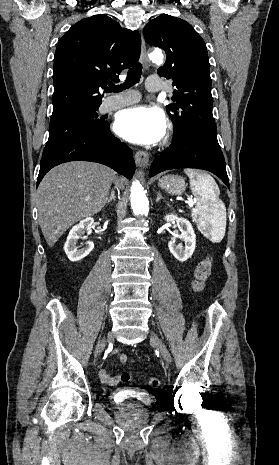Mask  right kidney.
Here are the masks:
<instances>
[{"instance_id":"obj_1","label":"right kidney","mask_w":279,"mask_h":465,"mask_svg":"<svg viewBox=\"0 0 279 465\" xmlns=\"http://www.w3.org/2000/svg\"><path fill=\"white\" fill-rule=\"evenodd\" d=\"M94 219L91 217L85 218L80 221L79 224L72 227L70 230L67 240L64 244V251L70 261L76 262L86 257L94 248L93 242H88L87 246L83 249L78 250L76 243L78 239L82 238L85 233L90 234L92 232V225Z\"/></svg>"}]
</instances>
